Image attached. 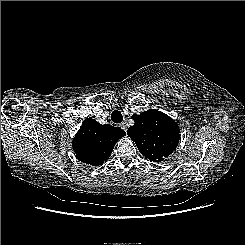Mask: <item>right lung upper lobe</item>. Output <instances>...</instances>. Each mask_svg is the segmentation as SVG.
Segmentation results:
<instances>
[{"mask_svg":"<svg viewBox=\"0 0 245 245\" xmlns=\"http://www.w3.org/2000/svg\"><path fill=\"white\" fill-rule=\"evenodd\" d=\"M125 135L120 127L101 125L87 118L76 133L72 146L78 160L98 166L108 159L117 141Z\"/></svg>","mask_w":245,"mask_h":245,"instance_id":"1","label":"right lung upper lobe"}]
</instances>
